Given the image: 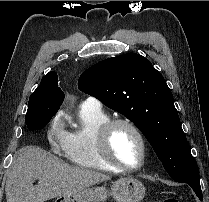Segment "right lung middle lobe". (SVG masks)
Wrapping results in <instances>:
<instances>
[{"instance_id": "obj_1", "label": "right lung middle lobe", "mask_w": 209, "mask_h": 202, "mask_svg": "<svg viewBox=\"0 0 209 202\" xmlns=\"http://www.w3.org/2000/svg\"><path fill=\"white\" fill-rule=\"evenodd\" d=\"M55 91L52 88H36L31 94L25 117L29 129L39 130L46 126L57 113L59 106L53 104Z\"/></svg>"}]
</instances>
